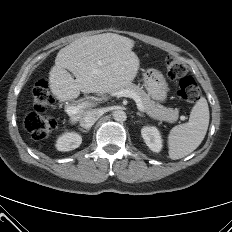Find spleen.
Returning <instances> with one entry per match:
<instances>
[{
    "mask_svg": "<svg viewBox=\"0 0 232 232\" xmlns=\"http://www.w3.org/2000/svg\"><path fill=\"white\" fill-rule=\"evenodd\" d=\"M207 100L201 97L193 106L189 121L173 127L168 136L169 157L181 159L193 152L203 141L209 125Z\"/></svg>",
    "mask_w": 232,
    "mask_h": 232,
    "instance_id": "1",
    "label": "spleen"
}]
</instances>
